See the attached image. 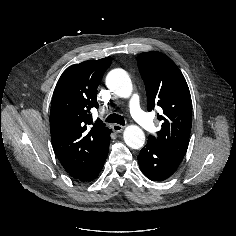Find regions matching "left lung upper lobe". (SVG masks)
Segmentation results:
<instances>
[{
  "mask_svg": "<svg viewBox=\"0 0 236 236\" xmlns=\"http://www.w3.org/2000/svg\"><path fill=\"white\" fill-rule=\"evenodd\" d=\"M138 68L145 83L147 109L162 108L158 119L162 127L148 142L172 158L182 161L192 126V102L186 80L177 65L157 51L141 53Z\"/></svg>",
  "mask_w": 236,
  "mask_h": 236,
  "instance_id": "left-lung-upper-lobe-1",
  "label": "left lung upper lobe"
}]
</instances>
